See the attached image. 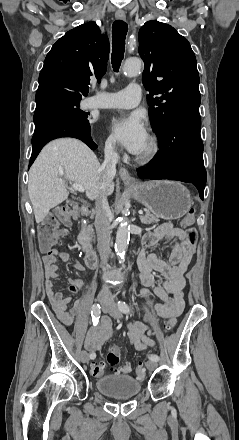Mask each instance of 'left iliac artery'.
<instances>
[{
	"label": "left iliac artery",
	"mask_w": 239,
	"mask_h": 440,
	"mask_svg": "<svg viewBox=\"0 0 239 440\" xmlns=\"http://www.w3.org/2000/svg\"><path fill=\"white\" fill-rule=\"evenodd\" d=\"M118 308L120 309V311L121 312H123V313H129L130 312V307H129V305L126 303V302H124V301H119L118 302ZM149 359L150 360H154V361H159V356L158 355H156V354H151V355H149Z\"/></svg>",
	"instance_id": "44dca946"
}]
</instances>
